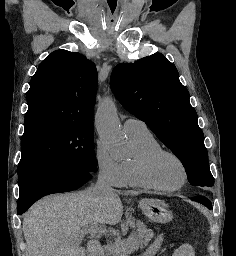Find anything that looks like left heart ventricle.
Here are the masks:
<instances>
[{
  "label": "left heart ventricle",
  "instance_id": "1",
  "mask_svg": "<svg viewBox=\"0 0 236 256\" xmlns=\"http://www.w3.org/2000/svg\"><path fill=\"white\" fill-rule=\"evenodd\" d=\"M154 175L160 184L168 187L177 186L184 179L182 166L173 157L168 155H164L156 161Z\"/></svg>",
  "mask_w": 236,
  "mask_h": 256
}]
</instances>
